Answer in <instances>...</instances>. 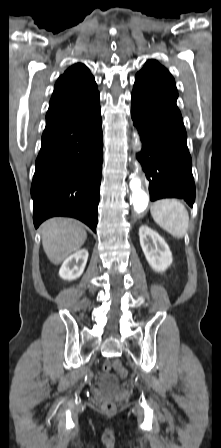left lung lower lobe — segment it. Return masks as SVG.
Segmentation results:
<instances>
[{"mask_svg": "<svg viewBox=\"0 0 221 448\" xmlns=\"http://www.w3.org/2000/svg\"><path fill=\"white\" fill-rule=\"evenodd\" d=\"M131 107L142 141L137 159L149 181L150 200L182 198L192 207L195 200L192 160L178 107L136 87Z\"/></svg>", "mask_w": 221, "mask_h": 448, "instance_id": "1", "label": "left lung lower lobe"}]
</instances>
